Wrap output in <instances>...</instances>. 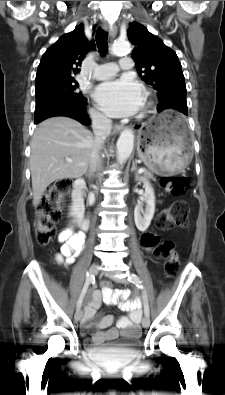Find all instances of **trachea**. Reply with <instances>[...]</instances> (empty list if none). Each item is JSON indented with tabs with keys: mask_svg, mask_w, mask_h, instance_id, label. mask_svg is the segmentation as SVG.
<instances>
[{
	"mask_svg": "<svg viewBox=\"0 0 225 395\" xmlns=\"http://www.w3.org/2000/svg\"><path fill=\"white\" fill-rule=\"evenodd\" d=\"M108 33L103 31L101 28H98L96 32V43L101 56H105L108 50Z\"/></svg>",
	"mask_w": 225,
	"mask_h": 395,
	"instance_id": "3493384b",
	"label": "trachea"
}]
</instances>
